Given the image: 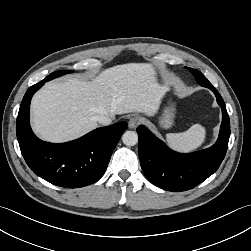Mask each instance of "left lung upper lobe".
<instances>
[{"label":"left lung upper lobe","mask_w":251,"mask_h":251,"mask_svg":"<svg viewBox=\"0 0 251 251\" xmlns=\"http://www.w3.org/2000/svg\"><path fill=\"white\" fill-rule=\"evenodd\" d=\"M188 70L194 75V77L196 78V80L200 83V82H203V83H207L209 82L204 76L203 74L196 70V69H192V68H188Z\"/></svg>","instance_id":"obj_1"}]
</instances>
